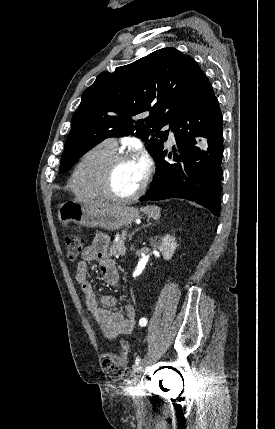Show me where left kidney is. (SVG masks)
I'll use <instances>...</instances> for the list:
<instances>
[{"instance_id": "left-kidney-1", "label": "left kidney", "mask_w": 275, "mask_h": 429, "mask_svg": "<svg viewBox=\"0 0 275 429\" xmlns=\"http://www.w3.org/2000/svg\"><path fill=\"white\" fill-rule=\"evenodd\" d=\"M151 244L162 253L166 261L172 258L177 247L175 238L168 234L162 237L155 236L151 238Z\"/></svg>"}]
</instances>
